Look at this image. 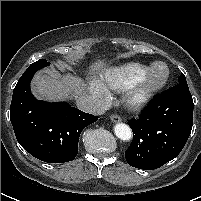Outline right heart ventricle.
I'll list each match as a JSON object with an SVG mask.
<instances>
[{
	"mask_svg": "<svg viewBox=\"0 0 201 201\" xmlns=\"http://www.w3.org/2000/svg\"><path fill=\"white\" fill-rule=\"evenodd\" d=\"M148 67V65L139 62L125 63L106 70L98 81L106 88L121 92L137 80Z\"/></svg>",
	"mask_w": 201,
	"mask_h": 201,
	"instance_id": "obj_1",
	"label": "right heart ventricle"
}]
</instances>
